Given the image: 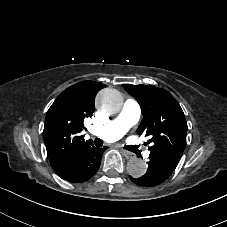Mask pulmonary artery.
<instances>
[{"instance_id":"obj_1","label":"pulmonary artery","mask_w":227,"mask_h":227,"mask_svg":"<svg viewBox=\"0 0 227 227\" xmlns=\"http://www.w3.org/2000/svg\"><path fill=\"white\" fill-rule=\"evenodd\" d=\"M140 109V102L135 98H130L125 102L120 114L115 119L107 124L91 127L89 133L93 137L103 135L107 141L114 142L138 121Z\"/></svg>"}]
</instances>
